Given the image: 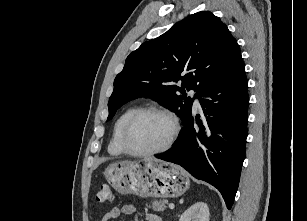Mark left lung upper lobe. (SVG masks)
I'll return each instance as SVG.
<instances>
[{
    "label": "left lung upper lobe",
    "instance_id": "left-lung-upper-lobe-1",
    "mask_svg": "<svg viewBox=\"0 0 307 221\" xmlns=\"http://www.w3.org/2000/svg\"><path fill=\"white\" fill-rule=\"evenodd\" d=\"M239 54L236 39L219 17L209 11L190 15L127 57L114 80L107 120L128 101L151 97L178 114L184 123L194 100L186 97V91L194 89L202 96ZM179 80L181 86L176 84Z\"/></svg>",
    "mask_w": 307,
    "mask_h": 221
}]
</instances>
